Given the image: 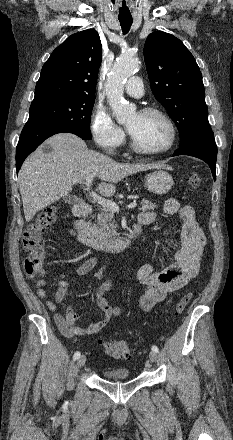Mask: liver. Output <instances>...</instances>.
<instances>
[{
    "label": "liver",
    "instance_id": "liver-1",
    "mask_svg": "<svg viewBox=\"0 0 233 440\" xmlns=\"http://www.w3.org/2000/svg\"><path fill=\"white\" fill-rule=\"evenodd\" d=\"M52 147L51 153L43 151ZM162 163H119L88 149L86 143L71 133H59L48 138L23 163L19 175L25 219L30 222L37 212L65 197L75 183L89 176L101 179L98 186L104 196H112L115 183L128 175L149 169H161Z\"/></svg>",
    "mask_w": 233,
    "mask_h": 440
}]
</instances>
